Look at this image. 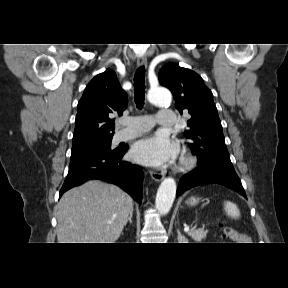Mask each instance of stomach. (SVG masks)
<instances>
[{
	"mask_svg": "<svg viewBox=\"0 0 288 288\" xmlns=\"http://www.w3.org/2000/svg\"><path fill=\"white\" fill-rule=\"evenodd\" d=\"M198 202H199V199H198V198L191 197V198L187 201V204L193 206V205H196Z\"/></svg>",
	"mask_w": 288,
	"mask_h": 288,
	"instance_id": "1",
	"label": "stomach"
}]
</instances>
